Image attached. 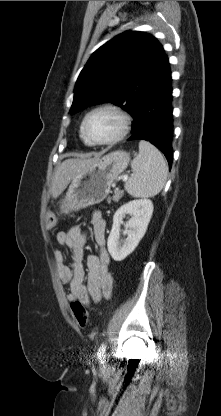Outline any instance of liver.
<instances>
[{"label":"liver","instance_id":"6515ba94","mask_svg":"<svg viewBox=\"0 0 221 416\" xmlns=\"http://www.w3.org/2000/svg\"><path fill=\"white\" fill-rule=\"evenodd\" d=\"M99 160L95 158H70L63 161L56 169L52 180L51 194L57 198L70 181L81 171L88 169Z\"/></svg>","mask_w":221,"mask_h":416}]
</instances>
